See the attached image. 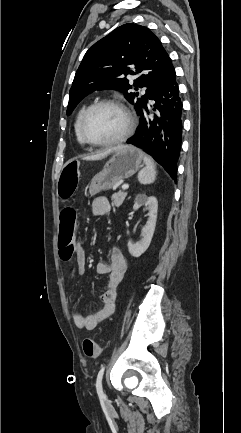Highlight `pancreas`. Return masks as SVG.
<instances>
[{
	"label": "pancreas",
	"instance_id": "pancreas-1",
	"mask_svg": "<svg viewBox=\"0 0 241 433\" xmlns=\"http://www.w3.org/2000/svg\"><path fill=\"white\" fill-rule=\"evenodd\" d=\"M127 196L126 192H118L112 195V206L113 207H120L122 203L124 202L125 198Z\"/></svg>",
	"mask_w": 241,
	"mask_h": 433
}]
</instances>
